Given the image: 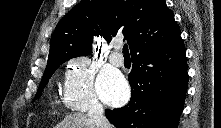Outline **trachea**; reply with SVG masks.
<instances>
[{"label":"trachea","instance_id":"1","mask_svg":"<svg viewBox=\"0 0 221 128\" xmlns=\"http://www.w3.org/2000/svg\"><path fill=\"white\" fill-rule=\"evenodd\" d=\"M123 54H124V57H129L130 56L127 44H124V46H123Z\"/></svg>","mask_w":221,"mask_h":128}]
</instances>
